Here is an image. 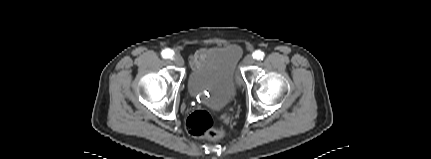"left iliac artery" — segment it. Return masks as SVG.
<instances>
[{
    "label": "left iliac artery",
    "mask_w": 431,
    "mask_h": 159,
    "mask_svg": "<svg viewBox=\"0 0 431 159\" xmlns=\"http://www.w3.org/2000/svg\"><path fill=\"white\" fill-rule=\"evenodd\" d=\"M264 57V53L260 50H257L253 53V58L257 59V60H262Z\"/></svg>",
    "instance_id": "44dca946"
}]
</instances>
